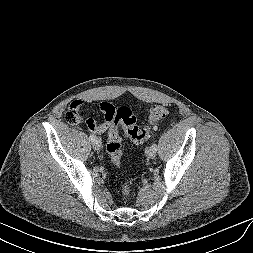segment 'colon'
<instances>
[{"label":"colon","instance_id":"colon-1","mask_svg":"<svg viewBox=\"0 0 253 253\" xmlns=\"http://www.w3.org/2000/svg\"><path fill=\"white\" fill-rule=\"evenodd\" d=\"M167 114V109L163 105H153L148 115V122L144 126L136 124V119L132 111L125 106L114 108L112 126L108 132L106 151L110 157V161L117 167L121 165V138L119 135V127H122L129 139L135 143H143L151 135L158 121L163 119ZM65 118L68 123L77 125L86 123L93 124L91 117H86L83 106L80 102H73L66 111ZM121 194L125 199L131 196L130 186L127 182L121 185Z\"/></svg>","mask_w":253,"mask_h":253}]
</instances>
